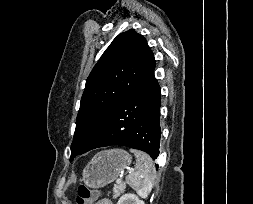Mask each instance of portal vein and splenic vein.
Listing matches in <instances>:
<instances>
[{"instance_id":"18ae733b","label":"portal vein and splenic vein","mask_w":253,"mask_h":204,"mask_svg":"<svg viewBox=\"0 0 253 204\" xmlns=\"http://www.w3.org/2000/svg\"><path fill=\"white\" fill-rule=\"evenodd\" d=\"M132 172H133L132 169H129V170H128V173H132ZM121 181H122V176L116 181V183H117V184H120Z\"/></svg>"}]
</instances>
